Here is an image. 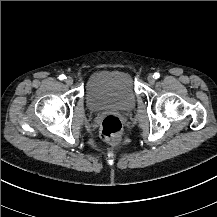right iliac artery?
<instances>
[{
    "instance_id": "82829eb1",
    "label": "right iliac artery",
    "mask_w": 217,
    "mask_h": 217,
    "mask_svg": "<svg viewBox=\"0 0 217 217\" xmlns=\"http://www.w3.org/2000/svg\"><path fill=\"white\" fill-rule=\"evenodd\" d=\"M64 79H66V76L64 74L59 76V80H64Z\"/></svg>"
}]
</instances>
